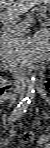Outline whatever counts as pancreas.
<instances>
[{
	"label": "pancreas",
	"mask_w": 50,
	"mask_h": 148,
	"mask_svg": "<svg viewBox=\"0 0 50 148\" xmlns=\"http://www.w3.org/2000/svg\"><path fill=\"white\" fill-rule=\"evenodd\" d=\"M25 25H12L9 24L3 30V53L2 60L5 64L4 68H16V58L18 55L25 53L26 47L28 46L27 42L29 41L25 38ZM44 32L38 30L33 38V41H37L38 44L42 43L44 38Z\"/></svg>",
	"instance_id": "cf45deb5"
}]
</instances>
